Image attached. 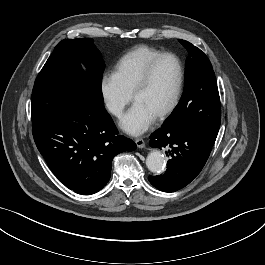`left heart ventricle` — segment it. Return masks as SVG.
I'll return each mask as SVG.
<instances>
[{
    "label": "left heart ventricle",
    "instance_id": "left-heart-ventricle-1",
    "mask_svg": "<svg viewBox=\"0 0 265 265\" xmlns=\"http://www.w3.org/2000/svg\"><path fill=\"white\" fill-rule=\"evenodd\" d=\"M178 80V68L172 58L161 60L154 68L146 88L139 93L134 104H139L155 117L171 102Z\"/></svg>",
    "mask_w": 265,
    "mask_h": 265
}]
</instances>
